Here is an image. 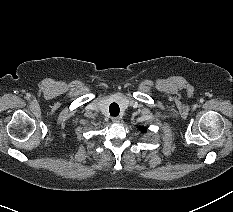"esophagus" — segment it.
Wrapping results in <instances>:
<instances>
[{"mask_svg": "<svg viewBox=\"0 0 233 212\" xmlns=\"http://www.w3.org/2000/svg\"><path fill=\"white\" fill-rule=\"evenodd\" d=\"M120 120H121L120 117H112V121H113L114 123H119Z\"/></svg>", "mask_w": 233, "mask_h": 212, "instance_id": "1", "label": "esophagus"}]
</instances>
